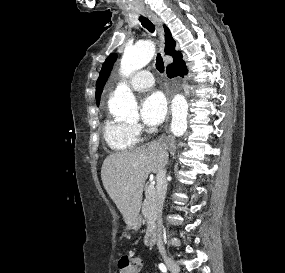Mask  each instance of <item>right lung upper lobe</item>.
<instances>
[{
  "label": "right lung upper lobe",
  "mask_w": 285,
  "mask_h": 273,
  "mask_svg": "<svg viewBox=\"0 0 285 273\" xmlns=\"http://www.w3.org/2000/svg\"><path fill=\"white\" fill-rule=\"evenodd\" d=\"M164 30H165V39H166L165 53L167 55H171L174 59V62L181 60L182 54L181 52L175 50L176 43L172 38L169 29L166 26H164Z\"/></svg>",
  "instance_id": "right-lung-upper-lobe-1"
}]
</instances>
